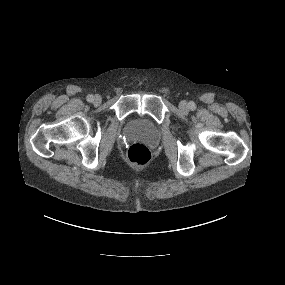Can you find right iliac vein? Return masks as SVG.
I'll use <instances>...</instances> for the list:
<instances>
[{"mask_svg": "<svg viewBox=\"0 0 285 285\" xmlns=\"http://www.w3.org/2000/svg\"><path fill=\"white\" fill-rule=\"evenodd\" d=\"M101 101H102V99H101V97L99 95H96L94 97L93 102H94L95 105H99L101 103Z\"/></svg>", "mask_w": 285, "mask_h": 285, "instance_id": "1", "label": "right iliac vein"}]
</instances>
